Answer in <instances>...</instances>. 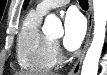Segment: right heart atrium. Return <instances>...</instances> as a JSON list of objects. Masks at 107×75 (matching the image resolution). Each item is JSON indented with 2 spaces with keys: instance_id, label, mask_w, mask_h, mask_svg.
I'll return each instance as SVG.
<instances>
[{
  "instance_id": "right-heart-atrium-1",
  "label": "right heart atrium",
  "mask_w": 107,
  "mask_h": 75,
  "mask_svg": "<svg viewBox=\"0 0 107 75\" xmlns=\"http://www.w3.org/2000/svg\"><path fill=\"white\" fill-rule=\"evenodd\" d=\"M55 49H56V51H58V49H59L57 44H55Z\"/></svg>"
}]
</instances>
